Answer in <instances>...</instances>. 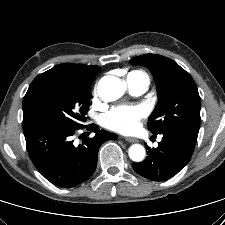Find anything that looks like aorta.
Wrapping results in <instances>:
<instances>
[{"instance_id":"obj_1","label":"aorta","mask_w":225,"mask_h":225,"mask_svg":"<svg viewBox=\"0 0 225 225\" xmlns=\"http://www.w3.org/2000/svg\"><path fill=\"white\" fill-rule=\"evenodd\" d=\"M126 84L118 77L107 75L100 79L97 91L99 97L105 102L115 101L123 96ZM129 157L134 162H142L146 150L141 144H133L128 150Z\"/></svg>"}]
</instances>
